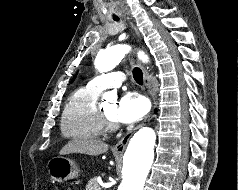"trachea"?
Here are the masks:
<instances>
[{
	"label": "trachea",
	"mask_w": 238,
	"mask_h": 190,
	"mask_svg": "<svg viewBox=\"0 0 238 190\" xmlns=\"http://www.w3.org/2000/svg\"><path fill=\"white\" fill-rule=\"evenodd\" d=\"M115 21H119V19H115ZM133 77L139 85L143 84V73L140 68L133 69Z\"/></svg>",
	"instance_id": "trachea-1"
}]
</instances>
